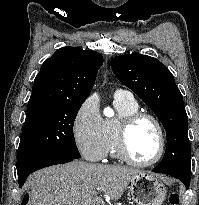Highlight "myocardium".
<instances>
[{
  "mask_svg": "<svg viewBox=\"0 0 199 205\" xmlns=\"http://www.w3.org/2000/svg\"><path fill=\"white\" fill-rule=\"evenodd\" d=\"M149 120L151 121L155 127L158 130L159 134V149L156 154V156L146 162H140L134 159L128 150L127 140H128V134L131 128L140 120ZM115 145H116V152L118 157L123 160L124 162L136 166V167H149L151 165L156 164L159 162L166 150L167 145V139L164 127L160 120L154 116L153 114H150L148 112L143 111H137L128 115L123 116L116 127V138H115Z\"/></svg>",
  "mask_w": 199,
  "mask_h": 205,
  "instance_id": "obj_1",
  "label": "myocardium"
}]
</instances>
